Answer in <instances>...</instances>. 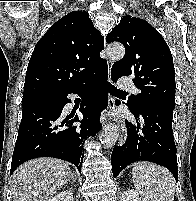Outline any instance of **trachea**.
<instances>
[{
	"label": "trachea",
	"mask_w": 196,
	"mask_h": 201,
	"mask_svg": "<svg viewBox=\"0 0 196 201\" xmlns=\"http://www.w3.org/2000/svg\"><path fill=\"white\" fill-rule=\"evenodd\" d=\"M107 90L109 91L110 94H119V93H125V91H121L119 89H117L114 85H112L111 83H107L106 85Z\"/></svg>",
	"instance_id": "trachea-1"
}]
</instances>
